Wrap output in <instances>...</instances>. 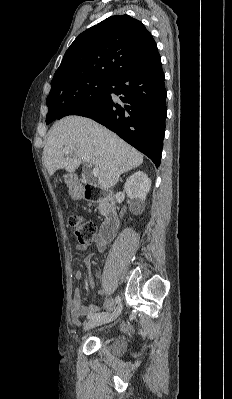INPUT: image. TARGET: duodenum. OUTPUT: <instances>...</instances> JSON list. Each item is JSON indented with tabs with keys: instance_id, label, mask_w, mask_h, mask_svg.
<instances>
[{
	"instance_id": "duodenum-1",
	"label": "duodenum",
	"mask_w": 232,
	"mask_h": 399,
	"mask_svg": "<svg viewBox=\"0 0 232 399\" xmlns=\"http://www.w3.org/2000/svg\"><path fill=\"white\" fill-rule=\"evenodd\" d=\"M80 193L88 201L102 203L105 210V220L99 238L106 243L110 242L119 229V217L115 209L113 194L92 184L84 185Z\"/></svg>"
}]
</instances>
